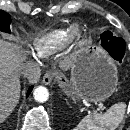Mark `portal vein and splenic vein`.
Returning a JSON list of instances; mask_svg holds the SVG:
<instances>
[{"mask_svg":"<svg viewBox=\"0 0 130 130\" xmlns=\"http://www.w3.org/2000/svg\"><path fill=\"white\" fill-rule=\"evenodd\" d=\"M98 105H99L100 110H103V109H104V107H103L102 104L99 103Z\"/></svg>","mask_w":130,"mask_h":130,"instance_id":"18ae733b","label":"portal vein and splenic vein"}]
</instances>
